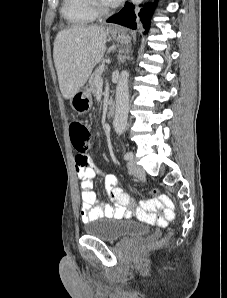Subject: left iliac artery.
<instances>
[{"instance_id": "left-iliac-artery-1", "label": "left iliac artery", "mask_w": 227, "mask_h": 298, "mask_svg": "<svg viewBox=\"0 0 227 298\" xmlns=\"http://www.w3.org/2000/svg\"><path fill=\"white\" fill-rule=\"evenodd\" d=\"M133 158V153L132 152H127L124 155L125 160H131Z\"/></svg>"}]
</instances>
